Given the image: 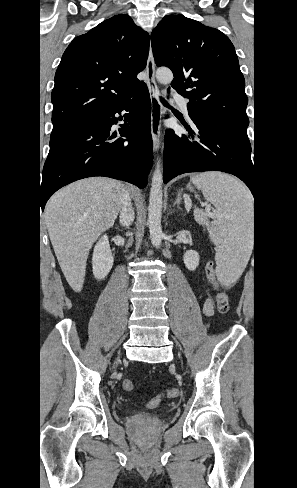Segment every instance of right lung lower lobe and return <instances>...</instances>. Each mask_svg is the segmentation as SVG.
Wrapping results in <instances>:
<instances>
[{
    "label": "right lung lower lobe",
    "instance_id": "obj_1",
    "mask_svg": "<svg viewBox=\"0 0 297 488\" xmlns=\"http://www.w3.org/2000/svg\"><path fill=\"white\" fill-rule=\"evenodd\" d=\"M121 111L127 112L125 123L111 132L122 120L115 116ZM150 128L151 101L142 83L110 110L51 136L40 189L42 211L54 192L86 177L106 176L144 188L153 160Z\"/></svg>",
    "mask_w": 297,
    "mask_h": 488
}]
</instances>
